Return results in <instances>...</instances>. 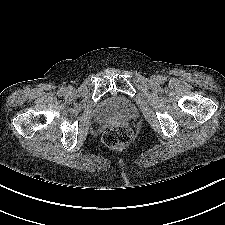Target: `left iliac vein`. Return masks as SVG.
<instances>
[{
    "label": "left iliac vein",
    "instance_id": "obj_1",
    "mask_svg": "<svg viewBox=\"0 0 225 225\" xmlns=\"http://www.w3.org/2000/svg\"><path fill=\"white\" fill-rule=\"evenodd\" d=\"M152 80H153V81H157V80H158V77H157L156 75H153V76H152Z\"/></svg>",
    "mask_w": 225,
    "mask_h": 225
}]
</instances>
